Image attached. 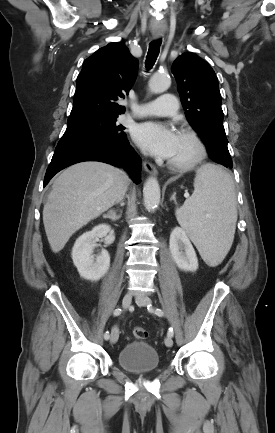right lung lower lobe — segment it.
I'll list each match as a JSON object with an SVG mask.
<instances>
[{
	"instance_id": "obj_1",
	"label": "right lung lower lobe",
	"mask_w": 275,
	"mask_h": 433,
	"mask_svg": "<svg viewBox=\"0 0 275 433\" xmlns=\"http://www.w3.org/2000/svg\"><path fill=\"white\" fill-rule=\"evenodd\" d=\"M82 161H101L113 166L122 164L136 184L141 181V160L125 138L108 143H71L57 146L46 171L44 186L60 170Z\"/></svg>"
}]
</instances>
